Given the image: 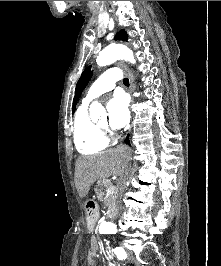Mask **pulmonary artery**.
<instances>
[{"mask_svg": "<svg viewBox=\"0 0 221 266\" xmlns=\"http://www.w3.org/2000/svg\"><path fill=\"white\" fill-rule=\"evenodd\" d=\"M120 78L121 74L115 67L109 68L103 72L89 88L85 98L83 99V105L87 106L100 95L111 91L115 87V83L119 81Z\"/></svg>", "mask_w": 221, "mask_h": 266, "instance_id": "pulmonary-artery-1", "label": "pulmonary artery"}]
</instances>
